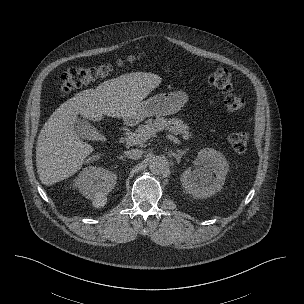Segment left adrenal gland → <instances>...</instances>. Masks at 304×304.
I'll return each mask as SVG.
<instances>
[{
	"label": "left adrenal gland",
	"mask_w": 304,
	"mask_h": 304,
	"mask_svg": "<svg viewBox=\"0 0 304 304\" xmlns=\"http://www.w3.org/2000/svg\"><path fill=\"white\" fill-rule=\"evenodd\" d=\"M189 149L185 150H176V153H172L173 157L177 160V163L180 162L182 156L187 153Z\"/></svg>",
	"instance_id": "left-adrenal-gland-1"
}]
</instances>
